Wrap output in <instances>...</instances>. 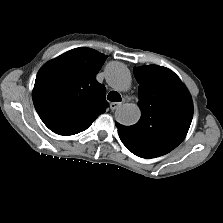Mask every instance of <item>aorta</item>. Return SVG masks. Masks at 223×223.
<instances>
[{
    "instance_id": "aorta-1",
    "label": "aorta",
    "mask_w": 223,
    "mask_h": 223,
    "mask_svg": "<svg viewBox=\"0 0 223 223\" xmlns=\"http://www.w3.org/2000/svg\"><path fill=\"white\" fill-rule=\"evenodd\" d=\"M106 81L114 89L124 92L130 88L131 75L129 69L121 62H109L105 69ZM141 110L136 104L126 103L115 112L118 123L130 126L139 121Z\"/></svg>"
}]
</instances>
